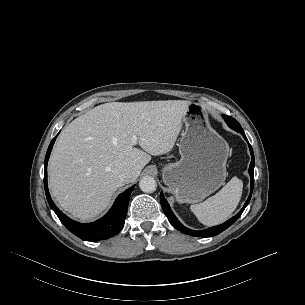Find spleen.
Instances as JSON below:
<instances>
[{"label": "spleen", "instance_id": "3e777b00", "mask_svg": "<svg viewBox=\"0 0 305 305\" xmlns=\"http://www.w3.org/2000/svg\"><path fill=\"white\" fill-rule=\"evenodd\" d=\"M243 182L233 177L219 192L206 201L190 206L197 219L206 226L226 221L237 208L241 199Z\"/></svg>", "mask_w": 305, "mask_h": 305}]
</instances>
